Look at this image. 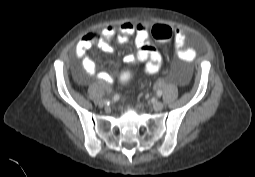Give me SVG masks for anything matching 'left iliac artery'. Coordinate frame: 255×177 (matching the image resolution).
Here are the masks:
<instances>
[{
    "label": "left iliac artery",
    "mask_w": 255,
    "mask_h": 177,
    "mask_svg": "<svg viewBox=\"0 0 255 177\" xmlns=\"http://www.w3.org/2000/svg\"><path fill=\"white\" fill-rule=\"evenodd\" d=\"M157 95H158L159 97H161L162 91H161V90H158V91H157Z\"/></svg>",
    "instance_id": "left-iliac-artery-1"
}]
</instances>
